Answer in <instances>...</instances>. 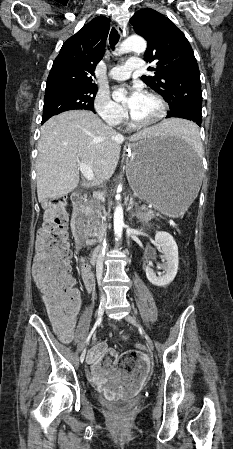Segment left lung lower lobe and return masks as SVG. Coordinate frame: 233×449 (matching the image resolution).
Wrapping results in <instances>:
<instances>
[{"label": "left lung lower lobe", "instance_id": "0a47b994", "mask_svg": "<svg viewBox=\"0 0 233 449\" xmlns=\"http://www.w3.org/2000/svg\"><path fill=\"white\" fill-rule=\"evenodd\" d=\"M170 117H179V118H184L187 119V116L182 115V114H168L166 116V118H170ZM189 120V119H188ZM193 121L196 122L199 126H201V121H202V115L200 114H196L194 115Z\"/></svg>", "mask_w": 233, "mask_h": 449}]
</instances>
